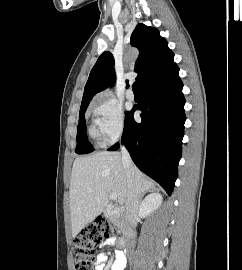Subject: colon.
Returning a JSON list of instances; mask_svg holds the SVG:
<instances>
[{
  "label": "colon",
  "instance_id": "5ec220e1",
  "mask_svg": "<svg viewBox=\"0 0 242 270\" xmlns=\"http://www.w3.org/2000/svg\"><path fill=\"white\" fill-rule=\"evenodd\" d=\"M116 233V228L112 222L103 217L86 226L73 241L75 270H94L93 255L95 247L104 239H108Z\"/></svg>",
  "mask_w": 242,
  "mask_h": 270
}]
</instances>
